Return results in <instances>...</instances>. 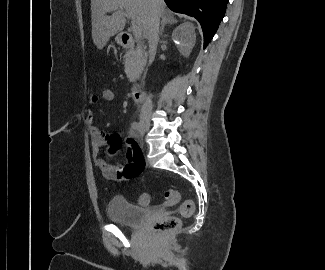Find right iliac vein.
I'll use <instances>...</instances> for the list:
<instances>
[{
  "mask_svg": "<svg viewBox=\"0 0 325 270\" xmlns=\"http://www.w3.org/2000/svg\"><path fill=\"white\" fill-rule=\"evenodd\" d=\"M150 129V124L149 123H143L141 126V130L143 132H147Z\"/></svg>",
  "mask_w": 325,
  "mask_h": 270,
  "instance_id": "right-iliac-vein-1",
  "label": "right iliac vein"
}]
</instances>
